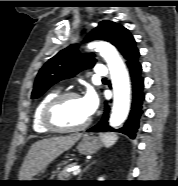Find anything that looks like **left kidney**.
<instances>
[{"instance_id": "1", "label": "left kidney", "mask_w": 178, "mask_h": 186, "mask_svg": "<svg viewBox=\"0 0 178 186\" xmlns=\"http://www.w3.org/2000/svg\"><path fill=\"white\" fill-rule=\"evenodd\" d=\"M98 181H105L103 177H99Z\"/></svg>"}]
</instances>
